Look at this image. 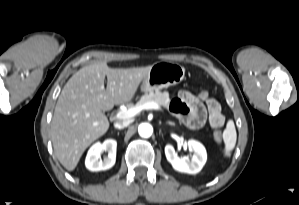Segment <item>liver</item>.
I'll return each instance as SVG.
<instances>
[{"label": "liver", "instance_id": "6515ba94", "mask_svg": "<svg viewBox=\"0 0 299 205\" xmlns=\"http://www.w3.org/2000/svg\"><path fill=\"white\" fill-rule=\"evenodd\" d=\"M151 66L123 69L97 62L67 81L50 132L55 155L64 168L73 171L86 148L107 132L110 124L103 111L131 101Z\"/></svg>", "mask_w": 299, "mask_h": 205}]
</instances>
